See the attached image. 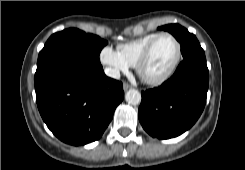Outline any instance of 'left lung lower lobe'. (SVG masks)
Segmentation results:
<instances>
[{
  "label": "left lung lower lobe",
  "instance_id": "1",
  "mask_svg": "<svg viewBox=\"0 0 245 170\" xmlns=\"http://www.w3.org/2000/svg\"><path fill=\"white\" fill-rule=\"evenodd\" d=\"M208 82L206 61L184 59L169 80L142 92L138 116L145 131L169 139L190 129L204 109Z\"/></svg>",
  "mask_w": 245,
  "mask_h": 170
}]
</instances>
